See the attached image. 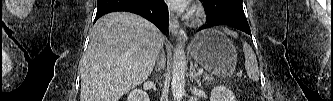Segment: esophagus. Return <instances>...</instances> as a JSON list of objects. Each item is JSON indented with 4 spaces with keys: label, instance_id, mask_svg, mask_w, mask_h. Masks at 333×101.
<instances>
[{
    "label": "esophagus",
    "instance_id": "34e87169",
    "mask_svg": "<svg viewBox=\"0 0 333 101\" xmlns=\"http://www.w3.org/2000/svg\"><path fill=\"white\" fill-rule=\"evenodd\" d=\"M169 31L172 34V36L182 39L184 41L187 40L186 33L183 30H181L179 27L177 16H175L172 12L170 13Z\"/></svg>",
    "mask_w": 333,
    "mask_h": 101
}]
</instances>
